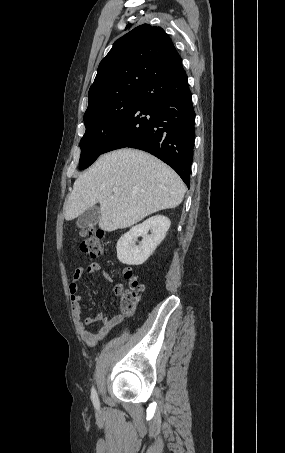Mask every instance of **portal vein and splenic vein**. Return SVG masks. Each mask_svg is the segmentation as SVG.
<instances>
[{"instance_id":"portal-vein-and-splenic-vein-1","label":"portal vein and splenic vein","mask_w":285,"mask_h":453,"mask_svg":"<svg viewBox=\"0 0 285 453\" xmlns=\"http://www.w3.org/2000/svg\"><path fill=\"white\" fill-rule=\"evenodd\" d=\"M113 192H118V188H113Z\"/></svg>"}]
</instances>
